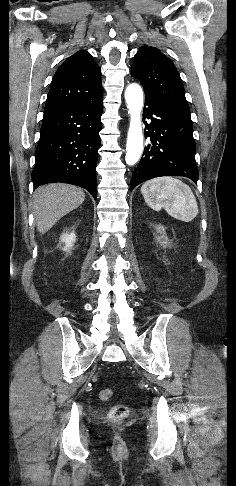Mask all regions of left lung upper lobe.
Wrapping results in <instances>:
<instances>
[{
    "instance_id": "obj_1",
    "label": "left lung upper lobe",
    "mask_w": 236,
    "mask_h": 486,
    "mask_svg": "<svg viewBox=\"0 0 236 486\" xmlns=\"http://www.w3.org/2000/svg\"><path fill=\"white\" fill-rule=\"evenodd\" d=\"M131 76L138 79L149 93L171 109L190 116L184 86L171 59L159 49L143 46L135 54Z\"/></svg>"
}]
</instances>
